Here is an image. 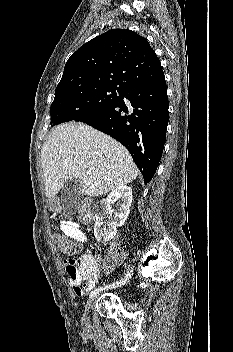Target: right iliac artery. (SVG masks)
<instances>
[{"instance_id":"82829eb1","label":"right iliac artery","mask_w":233,"mask_h":352,"mask_svg":"<svg viewBox=\"0 0 233 352\" xmlns=\"http://www.w3.org/2000/svg\"><path fill=\"white\" fill-rule=\"evenodd\" d=\"M132 274H133V271L130 267H128V271H127V274L125 275L124 278L120 279L119 281H116L114 283H111L105 287H100V288H97L95 290H93L91 293H90V298L94 297L96 294H98L101 290H105V289H111V288H115V287H118V286H121V285H124L126 284L132 277Z\"/></svg>"}]
</instances>
